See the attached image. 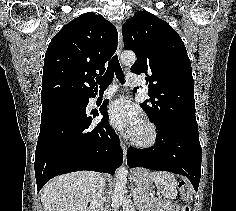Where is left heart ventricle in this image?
Segmentation results:
<instances>
[{
	"mask_svg": "<svg viewBox=\"0 0 236 211\" xmlns=\"http://www.w3.org/2000/svg\"><path fill=\"white\" fill-rule=\"evenodd\" d=\"M142 131V126L140 125L134 132L135 133H140Z\"/></svg>",
	"mask_w": 236,
	"mask_h": 211,
	"instance_id": "obj_1",
	"label": "left heart ventricle"
}]
</instances>
